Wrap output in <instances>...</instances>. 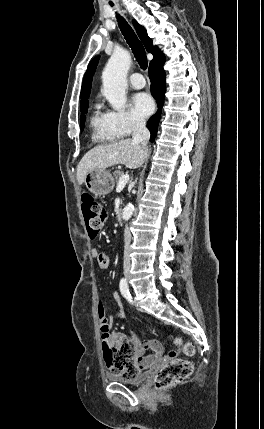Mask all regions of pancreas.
Segmentation results:
<instances>
[{"mask_svg":"<svg viewBox=\"0 0 264 429\" xmlns=\"http://www.w3.org/2000/svg\"><path fill=\"white\" fill-rule=\"evenodd\" d=\"M113 174H114L115 180H116V181H119V178L123 175V172H122V171L117 170V171H115Z\"/></svg>","mask_w":264,"mask_h":429,"instance_id":"pancreas-1","label":"pancreas"}]
</instances>
